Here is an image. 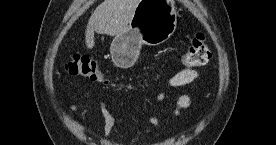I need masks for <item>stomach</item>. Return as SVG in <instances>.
<instances>
[{"mask_svg": "<svg viewBox=\"0 0 276 145\" xmlns=\"http://www.w3.org/2000/svg\"><path fill=\"white\" fill-rule=\"evenodd\" d=\"M178 11L169 0H139L125 31L116 35L110 46L117 67L126 69L138 59L143 44L157 46L176 30Z\"/></svg>", "mask_w": 276, "mask_h": 145, "instance_id": "1", "label": "stomach"}]
</instances>
